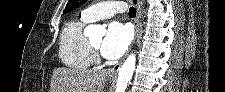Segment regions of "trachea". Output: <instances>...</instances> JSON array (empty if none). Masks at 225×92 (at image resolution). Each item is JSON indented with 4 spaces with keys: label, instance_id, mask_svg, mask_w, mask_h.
<instances>
[{
    "label": "trachea",
    "instance_id": "obj_1",
    "mask_svg": "<svg viewBox=\"0 0 225 92\" xmlns=\"http://www.w3.org/2000/svg\"><path fill=\"white\" fill-rule=\"evenodd\" d=\"M129 16L134 18L136 16V9L134 7H130Z\"/></svg>",
    "mask_w": 225,
    "mask_h": 92
}]
</instances>
